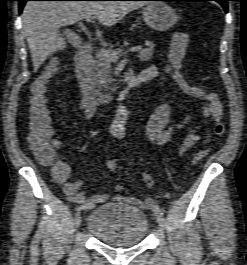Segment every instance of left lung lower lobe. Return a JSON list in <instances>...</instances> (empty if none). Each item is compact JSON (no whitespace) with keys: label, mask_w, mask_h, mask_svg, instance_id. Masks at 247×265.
Here are the masks:
<instances>
[{"label":"left lung lower lobe","mask_w":247,"mask_h":265,"mask_svg":"<svg viewBox=\"0 0 247 265\" xmlns=\"http://www.w3.org/2000/svg\"><path fill=\"white\" fill-rule=\"evenodd\" d=\"M146 1H153V0H146ZM160 1H190V0H160ZM191 1H216L219 4H221L225 12H227L228 11L227 2L230 0H191Z\"/></svg>","instance_id":"1"}]
</instances>
